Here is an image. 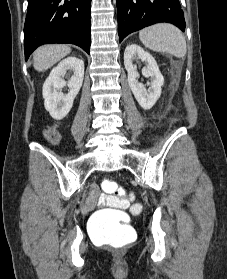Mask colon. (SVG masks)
Instances as JSON below:
<instances>
[{"label":"colon","instance_id":"obj_1","mask_svg":"<svg viewBox=\"0 0 227 279\" xmlns=\"http://www.w3.org/2000/svg\"><path fill=\"white\" fill-rule=\"evenodd\" d=\"M46 139L51 143L59 140V133L54 129H49ZM103 193L106 196L116 197L110 191L121 187L115 180H103L101 183ZM127 215L124 211L114 208H103L96 211L91 218L89 229L95 241H103L109 237L132 240L135 238L134 229L126 222Z\"/></svg>","mask_w":227,"mask_h":279}]
</instances>
